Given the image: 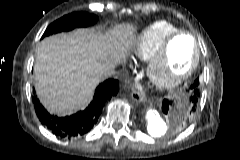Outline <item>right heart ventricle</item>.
Here are the masks:
<instances>
[{
	"label": "right heart ventricle",
	"mask_w": 240,
	"mask_h": 160,
	"mask_svg": "<svg viewBox=\"0 0 240 160\" xmlns=\"http://www.w3.org/2000/svg\"><path fill=\"white\" fill-rule=\"evenodd\" d=\"M180 31L168 21H156L144 28L134 39L132 53L141 61H148L171 34Z\"/></svg>",
	"instance_id": "e07e8e85"
}]
</instances>
